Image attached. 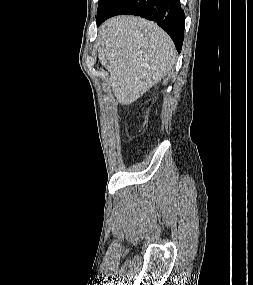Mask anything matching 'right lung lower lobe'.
<instances>
[{
	"mask_svg": "<svg viewBox=\"0 0 253 285\" xmlns=\"http://www.w3.org/2000/svg\"><path fill=\"white\" fill-rule=\"evenodd\" d=\"M121 14L137 15L157 22L172 38L177 51L181 52L185 14L179 0H113L105 12L97 16V25Z\"/></svg>",
	"mask_w": 253,
	"mask_h": 285,
	"instance_id": "right-lung-lower-lobe-1",
	"label": "right lung lower lobe"
}]
</instances>
